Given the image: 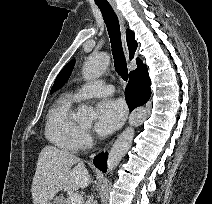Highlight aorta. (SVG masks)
Returning a JSON list of instances; mask_svg holds the SVG:
<instances>
[{
    "label": "aorta",
    "instance_id": "aorta-1",
    "mask_svg": "<svg viewBox=\"0 0 212 204\" xmlns=\"http://www.w3.org/2000/svg\"><path fill=\"white\" fill-rule=\"evenodd\" d=\"M110 57L107 53H93L86 60L82 68V76L86 81L99 78L107 69ZM95 116L92 107L81 105L77 109V117L82 121H91ZM147 119L146 109L139 107L129 116V126L120 134L113 144L108 157L109 172L115 169L121 159L131 147L134 128L141 125Z\"/></svg>",
    "mask_w": 212,
    "mask_h": 204
}]
</instances>
